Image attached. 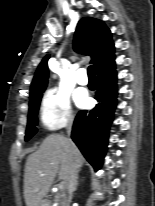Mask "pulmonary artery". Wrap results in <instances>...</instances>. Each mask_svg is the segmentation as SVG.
<instances>
[{"label":"pulmonary artery","instance_id":"e3ab8cb5","mask_svg":"<svg viewBox=\"0 0 155 206\" xmlns=\"http://www.w3.org/2000/svg\"><path fill=\"white\" fill-rule=\"evenodd\" d=\"M77 82L80 84V85H86L88 83V77L86 75V70L84 68H81L79 71H78V74H77Z\"/></svg>","mask_w":155,"mask_h":206}]
</instances>
